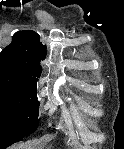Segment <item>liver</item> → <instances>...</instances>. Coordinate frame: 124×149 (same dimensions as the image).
Segmentation results:
<instances>
[{
    "label": "liver",
    "mask_w": 124,
    "mask_h": 149,
    "mask_svg": "<svg viewBox=\"0 0 124 149\" xmlns=\"http://www.w3.org/2000/svg\"><path fill=\"white\" fill-rule=\"evenodd\" d=\"M27 147L28 146H26V145H22V146H19L18 149H27Z\"/></svg>",
    "instance_id": "obj_1"
}]
</instances>
